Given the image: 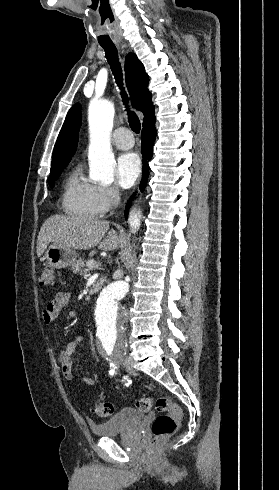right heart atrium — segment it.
I'll use <instances>...</instances> for the list:
<instances>
[{"label": "right heart atrium", "mask_w": 279, "mask_h": 490, "mask_svg": "<svg viewBox=\"0 0 279 490\" xmlns=\"http://www.w3.org/2000/svg\"><path fill=\"white\" fill-rule=\"evenodd\" d=\"M93 205L97 216L106 215L117 203L120 192L115 185L93 186Z\"/></svg>", "instance_id": "right-heart-atrium-1"}]
</instances>
